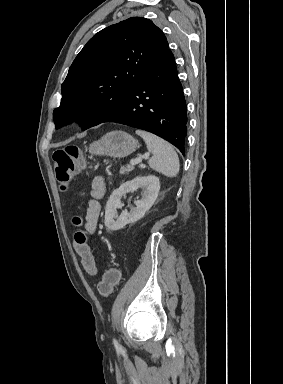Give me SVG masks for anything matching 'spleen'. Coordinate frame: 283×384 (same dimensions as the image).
Returning a JSON list of instances; mask_svg holds the SVG:
<instances>
[{"label": "spleen", "instance_id": "obj_1", "mask_svg": "<svg viewBox=\"0 0 283 384\" xmlns=\"http://www.w3.org/2000/svg\"><path fill=\"white\" fill-rule=\"evenodd\" d=\"M136 134L143 138L147 150L153 154L148 162L150 168L155 170V172H159V174L168 176V178H176L180 164L179 158L171 144L161 140L158 136H154V134H149V132L137 130Z\"/></svg>", "mask_w": 283, "mask_h": 384}]
</instances>
